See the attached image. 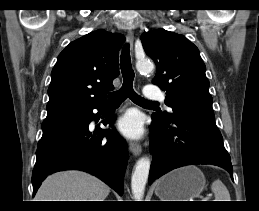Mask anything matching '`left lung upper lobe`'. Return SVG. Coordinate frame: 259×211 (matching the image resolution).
<instances>
[{"label": "left lung upper lobe", "instance_id": "5c2ea615", "mask_svg": "<svg viewBox=\"0 0 259 211\" xmlns=\"http://www.w3.org/2000/svg\"><path fill=\"white\" fill-rule=\"evenodd\" d=\"M143 48L156 63L153 84L166 92L173 113L153 115L171 121L176 115L191 114L215 120L205 64L198 48L186 37L164 29L145 32Z\"/></svg>", "mask_w": 259, "mask_h": 211}]
</instances>
